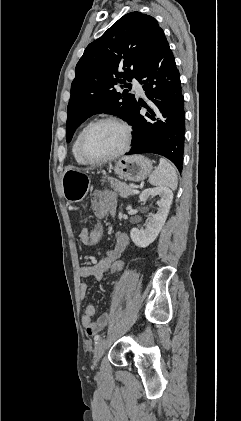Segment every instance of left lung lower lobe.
<instances>
[{
	"mask_svg": "<svg viewBox=\"0 0 241 421\" xmlns=\"http://www.w3.org/2000/svg\"><path fill=\"white\" fill-rule=\"evenodd\" d=\"M136 79L152 101L136 103L130 124L133 126V146L127 153H155L171 160L182 171L185 113L180 74L173 53L161 30L140 68ZM143 79V81L141 80ZM141 106L147 108L140 115Z\"/></svg>",
	"mask_w": 241,
	"mask_h": 421,
	"instance_id": "0a47b994",
	"label": "left lung lower lobe"
}]
</instances>
